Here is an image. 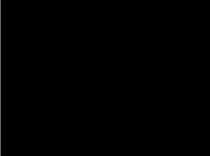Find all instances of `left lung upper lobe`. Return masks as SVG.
<instances>
[{
  "mask_svg": "<svg viewBox=\"0 0 210 156\" xmlns=\"http://www.w3.org/2000/svg\"><path fill=\"white\" fill-rule=\"evenodd\" d=\"M147 70L148 69H146V71ZM163 94H165L164 91L161 93L162 100H164ZM152 118L153 120L150 119L148 121V125L145 126L142 134L144 142L150 146L157 145L165 140L175 122V116L169 104L160 109L158 113H155Z\"/></svg>",
  "mask_w": 210,
  "mask_h": 156,
  "instance_id": "left-lung-upper-lobe-1",
  "label": "left lung upper lobe"
}]
</instances>
